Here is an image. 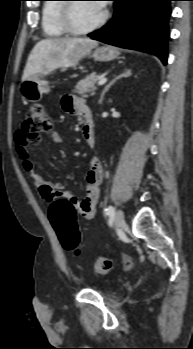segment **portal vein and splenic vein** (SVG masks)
Listing matches in <instances>:
<instances>
[{"mask_svg": "<svg viewBox=\"0 0 193 349\" xmlns=\"http://www.w3.org/2000/svg\"><path fill=\"white\" fill-rule=\"evenodd\" d=\"M107 82V78L103 77L98 81V85H103Z\"/></svg>", "mask_w": 193, "mask_h": 349, "instance_id": "portal-vein-and-splenic-vein-1", "label": "portal vein and splenic vein"}]
</instances>
